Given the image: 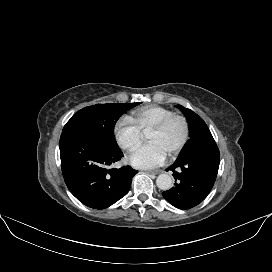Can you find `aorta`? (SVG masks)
<instances>
[{"label": "aorta", "mask_w": 272, "mask_h": 272, "mask_svg": "<svg viewBox=\"0 0 272 272\" xmlns=\"http://www.w3.org/2000/svg\"><path fill=\"white\" fill-rule=\"evenodd\" d=\"M173 180L168 174H160L156 179V185L161 190H169L172 187Z\"/></svg>", "instance_id": "1"}]
</instances>
